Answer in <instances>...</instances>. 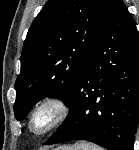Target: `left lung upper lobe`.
<instances>
[{"mask_svg": "<svg viewBox=\"0 0 139 150\" xmlns=\"http://www.w3.org/2000/svg\"><path fill=\"white\" fill-rule=\"evenodd\" d=\"M116 0H49L34 19L15 82L14 113L23 120L45 97L70 99Z\"/></svg>", "mask_w": 139, "mask_h": 150, "instance_id": "left-lung-upper-lobe-1", "label": "left lung upper lobe"}]
</instances>
